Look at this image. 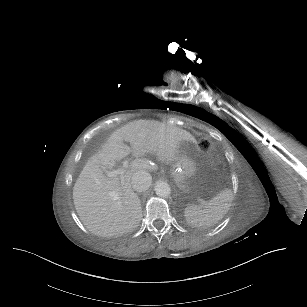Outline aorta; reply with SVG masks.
<instances>
[{
  "mask_svg": "<svg viewBox=\"0 0 307 307\" xmlns=\"http://www.w3.org/2000/svg\"><path fill=\"white\" fill-rule=\"evenodd\" d=\"M156 195L160 197H168L171 194V187L165 181H157L154 186Z\"/></svg>",
  "mask_w": 307,
  "mask_h": 307,
  "instance_id": "762f6f07",
  "label": "aorta"
}]
</instances>
